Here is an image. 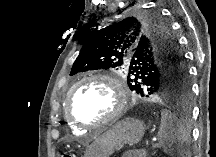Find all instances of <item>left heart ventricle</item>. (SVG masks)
I'll use <instances>...</instances> for the list:
<instances>
[{"mask_svg": "<svg viewBox=\"0 0 216 157\" xmlns=\"http://www.w3.org/2000/svg\"><path fill=\"white\" fill-rule=\"evenodd\" d=\"M113 106V91L98 81L86 82L72 93L71 110L76 118L84 122L104 118L111 112Z\"/></svg>", "mask_w": 216, "mask_h": 157, "instance_id": "1", "label": "left heart ventricle"}]
</instances>
